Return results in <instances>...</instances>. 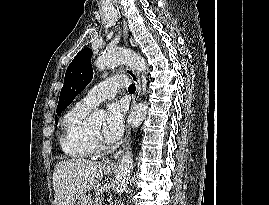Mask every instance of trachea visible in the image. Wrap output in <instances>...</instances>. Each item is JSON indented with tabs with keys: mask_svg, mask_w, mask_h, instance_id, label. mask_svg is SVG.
<instances>
[{
	"mask_svg": "<svg viewBox=\"0 0 269 205\" xmlns=\"http://www.w3.org/2000/svg\"><path fill=\"white\" fill-rule=\"evenodd\" d=\"M135 90H136V87H135L134 84L129 85V87H128V91H129V93H134Z\"/></svg>",
	"mask_w": 269,
	"mask_h": 205,
	"instance_id": "3493384b",
	"label": "trachea"
}]
</instances>
